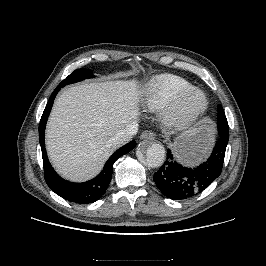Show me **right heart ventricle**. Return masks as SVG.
I'll return each mask as SVG.
<instances>
[{
    "mask_svg": "<svg viewBox=\"0 0 266 266\" xmlns=\"http://www.w3.org/2000/svg\"><path fill=\"white\" fill-rule=\"evenodd\" d=\"M192 87L186 79L173 74H160L146 84L142 96L144 110L156 113L161 111L180 91Z\"/></svg>",
    "mask_w": 266,
    "mask_h": 266,
    "instance_id": "1",
    "label": "right heart ventricle"
}]
</instances>
